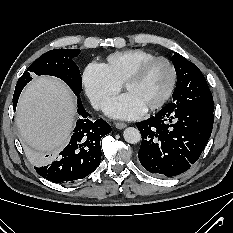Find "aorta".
I'll return each mask as SVG.
<instances>
[{"label": "aorta", "instance_id": "aorta-1", "mask_svg": "<svg viewBox=\"0 0 233 233\" xmlns=\"http://www.w3.org/2000/svg\"><path fill=\"white\" fill-rule=\"evenodd\" d=\"M124 140L130 144H136L141 140L140 131L134 127H128L123 132Z\"/></svg>", "mask_w": 233, "mask_h": 233}]
</instances>
